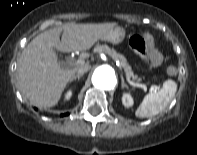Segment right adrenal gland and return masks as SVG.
Listing matches in <instances>:
<instances>
[{
    "label": "right adrenal gland",
    "instance_id": "obj_1",
    "mask_svg": "<svg viewBox=\"0 0 197 155\" xmlns=\"http://www.w3.org/2000/svg\"><path fill=\"white\" fill-rule=\"evenodd\" d=\"M81 77H82V75H76V76L73 77V79L70 82H72V81H74L76 79L79 80Z\"/></svg>",
    "mask_w": 197,
    "mask_h": 155
}]
</instances>
